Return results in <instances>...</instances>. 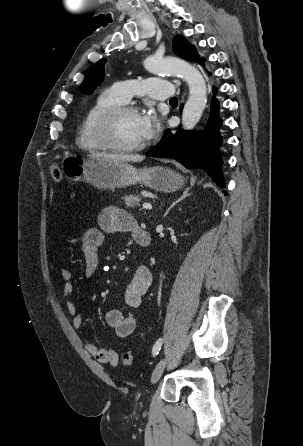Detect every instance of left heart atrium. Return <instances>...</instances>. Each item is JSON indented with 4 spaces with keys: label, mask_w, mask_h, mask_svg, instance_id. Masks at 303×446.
Returning <instances> with one entry per match:
<instances>
[{
    "label": "left heart atrium",
    "mask_w": 303,
    "mask_h": 446,
    "mask_svg": "<svg viewBox=\"0 0 303 446\" xmlns=\"http://www.w3.org/2000/svg\"><path fill=\"white\" fill-rule=\"evenodd\" d=\"M140 132L144 139L156 136L161 130V120L155 111L149 110L139 115Z\"/></svg>",
    "instance_id": "1"
}]
</instances>
